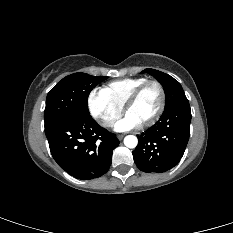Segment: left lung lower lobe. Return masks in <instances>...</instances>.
Masks as SVG:
<instances>
[{
    "mask_svg": "<svg viewBox=\"0 0 233 233\" xmlns=\"http://www.w3.org/2000/svg\"><path fill=\"white\" fill-rule=\"evenodd\" d=\"M191 109L186 97L165 108L160 119L138 137L134 162L144 172H165L182 158L190 135Z\"/></svg>",
    "mask_w": 233,
    "mask_h": 233,
    "instance_id": "1",
    "label": "left lung lower lobe"
}]
</instances>
